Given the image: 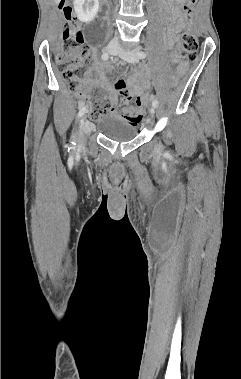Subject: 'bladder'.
<instances>
[{"label": "bladder", "mask_w": 241, "mask_h": 379, "mask_svg": "<svg viewBox=\"0 0 241 379\" xmlns=\"http://www.w3.org/2000/svg\"><path fill=\"white\" fill-rule=\"evenodd\" d=\"M98 129L104 137L116 142H128L137 136L136 124L114 113L102 116L98 122Z\"/></svg>", "instance_id": "bladder-1"}]
</instances>
